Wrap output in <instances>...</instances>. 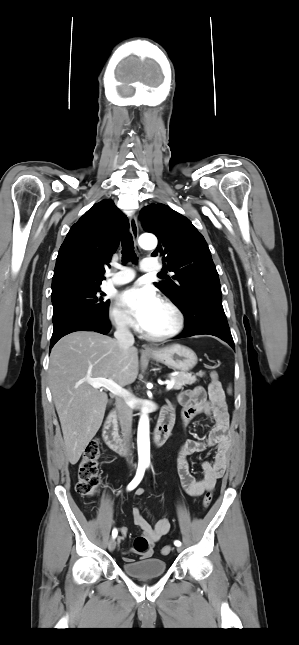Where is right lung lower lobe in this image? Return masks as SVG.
<instances>
[{
  "instance_id": "obj_1",
  "label": "right lung lower lobe",
  "mask_w": 299,
  "mask_h": 645,
  "mask_svg": "<svg viewBox=\"0 0 299 645\" xmlns=\"http://www.w3.org/2000/svg\"><path fill=\"white\" fill-rule=\"evenodd\" d=\"M110 330V322L108 316L106 318H98L93 316H86L71 321L56 331H53L50 349L54 344L63 336L76 331H95L101 334H107Z\"/></svg>"
}]
</instances>
